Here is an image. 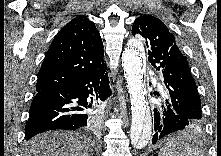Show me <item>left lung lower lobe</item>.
Listing matches in <instances>:
<instances>
[{"label": "left lung lower lobe", "instance_id": "left-lung-lower-lobe-1", "mask_svg": "<svg viewBox=\"0 0 221 156\" xmlns=\"http://www.w3.org/2000/svg\"><path fill=\"white\" fill-rule=\"evenodd\" d=\"M159 96V93H154ZM201 123L195 119L185 116L173 107L168 98L163 97L158 108L154 109V130L155 134L152 143L155 144L161 138L178 130L194 128Z\"/></svg>", "mask_w": 221, "mask_h": 156}]
</instances>
